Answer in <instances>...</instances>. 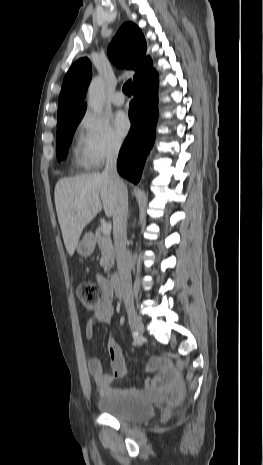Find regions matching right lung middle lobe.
<instances>
[{"label":"right lung middle lobe","instance_id":"dd1d6c3e","mask_svg":"<svg viewBox=\"0 0 263 465\" xmlns=\"http://www.w3.org/2000/svg\"><path fill=\"white\" fill-rule=\"evenodd\" d=\"M84 113L85 110L75 112L57 123L56 155L59 161L66 158L72 136Z\"/></svg>","mask_w":263,"mask_h":465}]
</instances>
